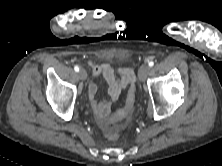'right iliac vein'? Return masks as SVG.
<instances>
[{
	"label": "right iliac vein",
	"mask_w": 222,
	"mask_h": 166,
	"mask_svg": "<svg viewBox=\"0 0 222 166\" xmlns=\"http://www.w3.org/2000/svg\"><path fill=\"white\" fill-rule=\"evenodd\" d=\"M78 76H79V78H80L82 81H84V80H86V78H87V73H86L85 70L81 69V70L78 72Z\"/></svg>",
	"instance_id": "1"
}]
</instances>
